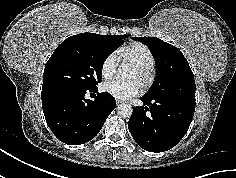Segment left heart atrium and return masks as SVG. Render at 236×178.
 I'll use <instances>...</instances> for the list:
<instances>
[{"label": "left heart atrium", "mask_w": 236, "mask_h": 178, "mask_svg": "<svg viewBox=\"0 0 236 178\" xmlns=\"http://www.w3.org/2000/svg\"><path fill=\"white\" fill-rule=\"evenodd\" d=\"M142 85L139 80L128 81L111 80L103 85V90L119 100H127L141 92Z\"/></svg>", "instance_id": "39dd6f15"}]
</instances>
